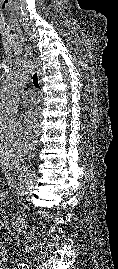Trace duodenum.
Instances as JSON below:
<instances>
[{
  "label": "duodenum",
  "instance_id": "410a0bca",
  "mask_svg": "<svg viewBox=\"0 0 118 269\" xmlns=\"http://www.w3.org/2000/svg\"><path fill=\"white\" fill-rule=\"evenodd\" d=\"M25 227V219L23 217H18L12 224L11 229L13 232H19Z\"/></svg>",
  "mask_w": 118,
  "mask_h": 269
}]
</instances>
